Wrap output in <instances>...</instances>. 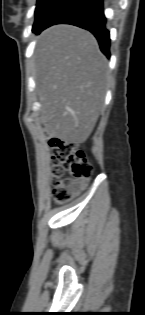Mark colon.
Listing matches in <instances>:
<instances>
[{"instance_id": "5ec220e1", "label": "colon", "mask_w": 145, "mask_h": 315, "mask_svg": "<svg viewBox=\"0 0 145 315\" xmlns=\"http://www.w3.org/2000/svg\"><path fill=\"white\" fill-rule=\"evenodd\" d=\"M48 142L52 148L53 198L63 204L84 187L93 168L75 142L58 136H49Z\"/></svg>"}]
</instances>
